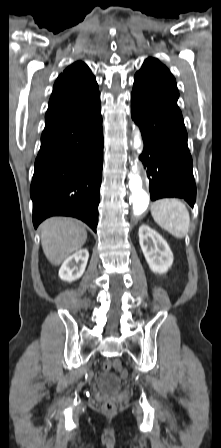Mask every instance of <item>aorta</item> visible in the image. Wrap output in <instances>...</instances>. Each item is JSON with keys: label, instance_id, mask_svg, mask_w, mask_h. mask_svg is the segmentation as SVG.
<instances>
[{"label": "aorta", "instance_id": "obj_1", "mask_svg": "<svg viewBox=\"0 0 221 448\" xmlns=\"http://www.w3.org/2000/svg\"><path fill=\"white\" fill-rule=\"evenodd\" d=\"M134 148L140 151L142 140L138 131L134 134ZM129 189L131 191V200L135 215L142 214L149 205V195L142 189V179L138 173L137 165L132 166V172L129 174Z\"/></svg>", "mask_w": 221, "mask_h": 448}]
</instances>
